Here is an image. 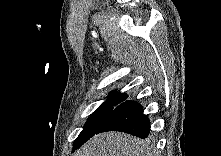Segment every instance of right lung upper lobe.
I'll use <instances>...</instances> for the list:
<instances>
[{"mask_svg": "<svg viewBox=\"0 0 221 156\" xmlns=\"http://www.w3.org/2000/svg\"><path fill=\"white\" fill-rule=\"evenodd\" d=\"M111 99H120L122 101H124L126 99V94H121L117 91H114V93H112L109 97V100Z\"/></svg>", "mask_w": 221, "mask_h": 156, "instance_id": "cb5924a9", "label": "right lung upper lobe"}]
</instances>
